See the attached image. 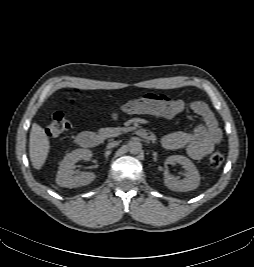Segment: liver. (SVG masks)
<instances>
[{"mask_svg":"<svg viewBox=\"0 0 254 267\" xmlns=\"http://www.w3.org/2000/svg\"><path fill=\"white\" fill-rule=\"evenodd\" d=\"M49 150L50 143L44 129L37 123H33L29 139V155L35 169L40 170L42 168Z\"/></svg>","mask_w":254,"mask_h":267,"instance_id":"obj_1","label":"liver"}]
</instances>
